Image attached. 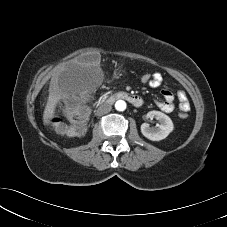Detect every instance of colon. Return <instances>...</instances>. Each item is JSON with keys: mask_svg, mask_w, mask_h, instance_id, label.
<instances>
[{"mask_svg": "<svg viewBox=\"0 0 227 227\" xmlns=\"http://www.w3.org/2000/svg\"><path fill=\"white\" fill-rule=\"evenodd\" d=\"M139 79L143 84L149 85L154 79V73H142ZM87 114H88L87 108L80 106L70 111L69 116L71 124H67L59 118H54L52 124L54 129L58 133L72 136L82 131L87 118ZM180 117L186 118L187 113L181 112Z\"/></svg>", "mask_w": 227, "mask_h": 227, "instance_id": "obj_1", "label": "colon"}]
</instances>
